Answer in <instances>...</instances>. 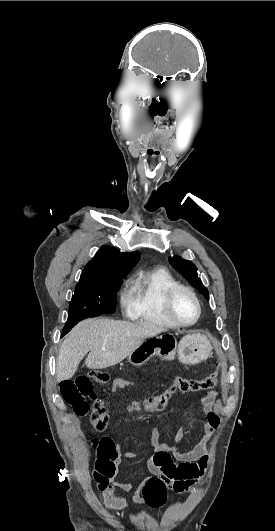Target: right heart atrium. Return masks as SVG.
Instances as JSON below:
<instances>
[{"label":"right heart atrium","instance_id":"d8ad5b80","mask_svg":"<svg viewBox=\"0 0 275 531\" xmlns=\"http://www.w3.org/2000/svg\"><path fill=\"white\" fill-rule=\"evenodd\" d=\"M121 306L127 314H132L136 306L135 285L131 280L125 281L121 290Z\"/></svg>","mask_w":275,"mask_h":531}]
</instances>
